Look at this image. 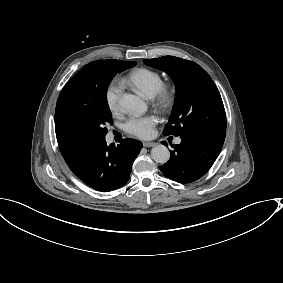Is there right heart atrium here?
<instances>
[{
	"instance_id": "1",
	"label": "right heart atrium",
	"mask_w": 283,
	"mask_h": 283,
	"mask_svg": "<svg viewBox=\"0 0 283 283\" xmlns=\"http://www.w3.org/2000/svg\"><path fill=\"white\" fill-rule=\"evenodd\" d=\"M124 91V85L118 78H111L104 88V99L108 110L116 113L121 108V98Z\"/></svg>"
}]
</instances>
